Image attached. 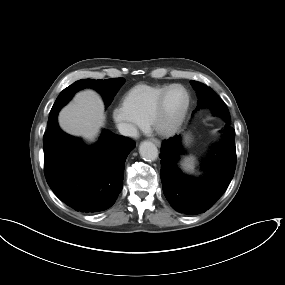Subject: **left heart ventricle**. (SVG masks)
Returning a JSON list of instances; mask_svg holds the SVG:
<instances>
[{"label": "left heart ventricle", "mask_w": 285, "mask_h": 285, "mask_svg": "<svg viewBox=\"0 0 285 285\" xmlns=\"http://www.w3.org/2000/svg\"><path fill=\"white\" fill-rule=\"evenodd\" d=\"M186 104V94L181 88H173L166 99L161 124H171L181 113Z\"/></svg>", "instance_id": "obj_1"}]
</instances>
